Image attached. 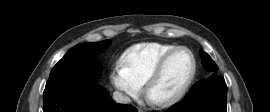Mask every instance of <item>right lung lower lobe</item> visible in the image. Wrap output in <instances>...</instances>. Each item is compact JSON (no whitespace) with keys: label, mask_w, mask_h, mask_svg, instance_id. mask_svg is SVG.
<instances>
[{"label":"right lung lower lobe","mask_w":270,"mask_h":112,"mask_svg":"<svg viewBox=\"0 0 270 112\" xmlns=\"http://www.w3.org/2000/svg\"><path fill=\"white\" fill-rule=\"evenodd\" d=\"M43 112H137V109L116 104L97 83L52 82L44 90Z\"/></svg>","instance_id":"obj_1"}]
</instances>
